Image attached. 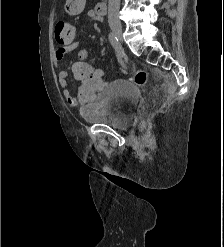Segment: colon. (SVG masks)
<instances>
[{
	"label": "colon",
	"instance_id": "1",
	"mask_svg": "<svg viewBox=\"0 0 224 247\" xmlns=\"http://www.w3.org/2000/svg\"><path fill=\"white\" fill-rule=\"evenodd\" d=\"M54 32L57 41L60 42L73 40L77 36L76 26L73 23L63 20L56 23ZM73 72L77 79L86 81L89 85V88L80 95L79 99H75L76 103L89 101L94 91L103 85L102 80L94 73L91 67L85 63L76 64L73 68ZM133 79L139 86H146L148 83V75L146 71L142 69L134 70Z\"/></svg>",
	"mask_w": 224,
	"mask_h": 247
}]
</instances>
